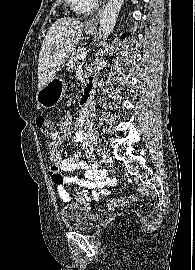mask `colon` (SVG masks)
I'll return each instance as SVG.
<instances>
[{
  "label": "colon",
  "mask_w": 195,
  "mask_h": 270,
  "mask_svg": "<svg viewBox=\"0 0 195 270\" xmlns=\"http://www.w3.org/2000/svg\"><path fill=\"white\" fill-rule=\"evenodd\" d=\"M36 124L45 136H51L54 133V124L49 118L44 116H38L36 118ZM134 201H136L135 197H121L109 200L108 204L110 206L116 207L123 206Z\"/></svg>",
  "instance_id": "colon-1"
}]
</instances>
